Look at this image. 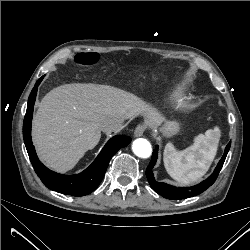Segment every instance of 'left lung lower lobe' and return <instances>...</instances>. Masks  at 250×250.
<instances>
[{
  "mask_svg": "<svg viewBox=\"0 0 250 250\" xmlns=\"http://www.w3.org/2000/svg\"><path fill=\"white\" fill-rule=\"evenodd\" d=\"M231 142H229L225 148L224 155L222 156L221 160L219 161L217 167L215 168L214 172L203 182H201L198 185L192 186V187H174L171 185H168L166 183L157 182L154 178L152 169L156 163L157 160V151L158 146H156V149L153 152L152 160L150 164L148 165L146 169V176L149 181L150 186L154 191H156L158 194L163 196L167 199H185L188 197L196 196L198 194H201L206 189H208L217 179L218 174L224 164V161L226 159L227 153L230 149Z\"/></svg>",
  "mask_w": 250,
  "mask_h": 250,
  "instance_id": "1",
  "label": "left lung lower lobe"
}]
</instances>
